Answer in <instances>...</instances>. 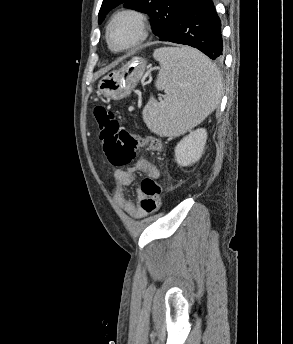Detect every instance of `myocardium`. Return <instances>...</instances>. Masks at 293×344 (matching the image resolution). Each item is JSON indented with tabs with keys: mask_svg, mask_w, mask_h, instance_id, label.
<instances>
[{
	"mask_svg": "<svg viewBox=\"0 0 293 344\" xmlns=\"http://www.w3.org/2000/svg\"><path fill=\"white\" fill-rule=\"evenodd\" d=\"M122 18H129L134 21L137 27L138 35L132 43L122 46V47H116L113 45L111 41L110 33H111V29L113 25ZM148 34H149V23H148V19L146 15L142 13L141 11H138L132 8H126V9H121L117 11L115 14L112 15V17L110 18L106 26V41L109 48L114 52H126V51H130L137 48L146 40V38L148 37Z\"/></svg>",
	"mask_w": 293,
	"mask_h": 344,
	"instance_id": "1",
	"label": "myocardium"
}]
</instances>
